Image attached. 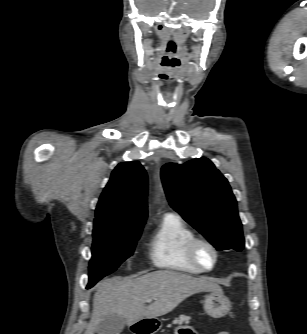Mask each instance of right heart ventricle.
<instances>
[{
	"mask_svg": "<svg viewBox=\"0 0 307 334\" xmlns=\"http://www.w3.org/2000/svg\"><path fill=\"white\" fill-rule=\"evenodd\" d=\"M194 236L192 230L173 213L165 214L150 235L148 256L151 263L160 269L187 273H202L187 258L185 246Z\"/></svg>",
	"mask_w": 307,
	"mask_h": 334,
	"instance_id": "obj_1",
	"label": "right heart ventricle"
}]
</instances>
